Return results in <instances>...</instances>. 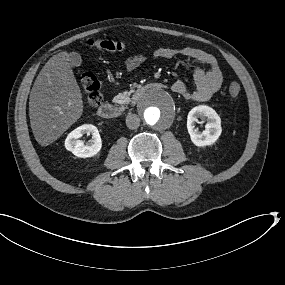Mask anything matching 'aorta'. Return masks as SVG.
I'll use <instances>...</instances> for the list:
<instances>
[{"label": "aorta", "mask_w": 285, "mask_h": 285, "mask_svg": "<svg viewBox=\"0 0 285 285\" xmlns=\"http://www.w3.org/2000/svg\"><path fill=\"white\" fill-rule=\"evenodd\" d=\"M140 113L142 118L150 125H167L176 116V99L167 90H150L141 99Z\"/></svg>", "instance_id": "obj_1"}]
</instances>
